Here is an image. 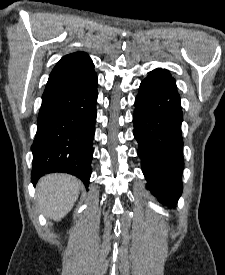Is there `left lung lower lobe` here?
Wrapping results in <instances>:
<instances>
[{
    "instance_id": "left-lung-lower-lobe-1",
    "label": "left lung lower lobe",
    "mask_w": 225,
    "mask_h": 275,
    "mask_svg": "<svg viewBox=\"0 0 225 275\" xmlns=\"http://www.w3.org/2000/svg\"><path fill=\"white\" fill-rule=\"evenodd\" d=\"M134 137L147 189L174 207L182 193L183 113L176 82L155 69L142 81L135 100Z\"/></svg>"
}]
</instances>
